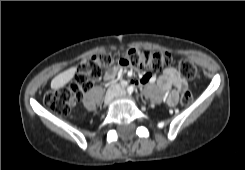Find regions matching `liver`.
Returning <instances> with one entry per match:
<instances>
[{
    "mask_svg": "<svg viewBox=\"0 0 245 170\" xmlns=\"http://www.w3.org/2000/svg\"><path fill=\"white\" fill-rule=\"evenodd\" d=\"M76 70H77L76 67H71L68 70L55 76L53 80L51 81V88L58 89L66 85L68 82L72 80V78L74 77V74L76 73Z\"/></svg>",
    "mask_w": 245,
    "mask_h": 170,
    "instance_id": "6515ba94",
    "label": "liver"
}]
</instances>
